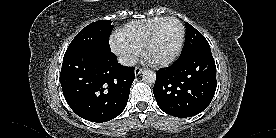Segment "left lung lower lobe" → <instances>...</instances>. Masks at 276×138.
I'll use <instances>...</instances> for the list:
<instances>
[{
	"label": "left lung lower lobe",
	"mask_w": 276,
	"mask_h": 138,
	"mask_svg": "<svg viewBox=\"0 0 276 138\" xmlns=\"http://www.w3.org/2000/svg\"><path fill=\"white\" fill-rule=\"evenodd\" d=\"M216 86L215 61L210 48H204L156 72L153 91L162 111L186 118L206 109Z\"/></svg>",
	"instance_id": "0a47b994"
}]
</instances>
